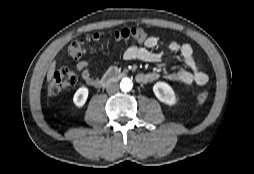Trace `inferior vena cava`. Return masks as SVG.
<instances>
[{"mask_svg": "<svg viewBox=\"0 0 254 174\" xmlns=\"http://www.w3.org/2000/svg\"><path fill=\"white\" fill-rule=\"evenodd\" d=\"M118 90H119V85H118V83H110V84L107 86V88H106V91H107L109 94L116 93Z\"/></svg>", "mask_w": 254, "mask_h": 174, "instance_id": "1", "label": "inferior vena cava"}]
</instances>
